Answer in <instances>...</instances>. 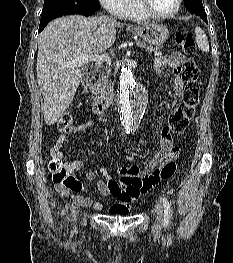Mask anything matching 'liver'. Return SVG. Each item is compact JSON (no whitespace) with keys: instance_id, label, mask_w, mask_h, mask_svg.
Listing matches in <instances>:
<instances>
[{"instance_id":"liver-1","label":"liver","mask_w":233,"mask_h":263,"mask_svg":"<svg viewBox=\"0 0 233 263\" xmlns=\"http://www.w3.org/2000/svg\"><path fill=\"white\" fill-rule=\"evenodd\" d=\"M123 23L101 17L70 15L51 21L38 38L36 76L44 98V121L55 124L71 104L82 78L79 66L69 65L82 56L104 55Z\"/></svg>"}]
</instances>
